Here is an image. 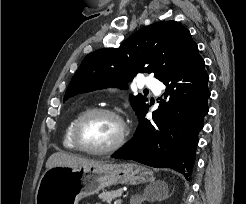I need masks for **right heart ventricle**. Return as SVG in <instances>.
I'll return each instance as SVG.
<instances>
[{
	"mask_svg": "<svg viewBox=\"0 0 246 204\" xmlns=\"http://www.w3.org/2000/svg\"><path fill=\"white\" fill-rule=\"evenodd\" d=\"M86 110H88L87 106L81 107L79 110H77L74 115L70 118L65 131H64V136H63V145L65 148L70 149V150H76V146L73 142L72 139V132H73V127L76 122V120L79 118V116L84 113Z\"/></svg>",
	"mask_w": 246,
	"mask_h": 204,
	"instance_id": "e07e8e85",
	"label": "right heart ventricle"
}]
</instances>
